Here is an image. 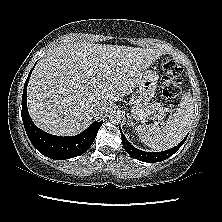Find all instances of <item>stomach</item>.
<instances>
[{
  "mask_svg": "<svg viewBox=\"0 0 222 222\" xmlns=\"http://www.w3.org/2000/svg\"><path fill=\"white\" fill-rule=\"evenodd\" d=\"M158 75L152 70H145L142 74L141 80L138 84V89L141 98L150 99L152 98L157 89Z\"/></svg>",
  "mask_w": 222,
  "mask_h": 222,
  "instance_id": "obj_1",
  "label": "stomach"
}]
</instances>
